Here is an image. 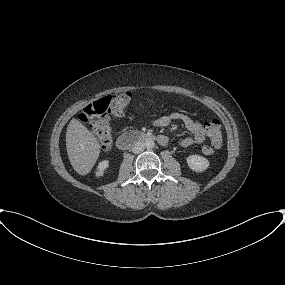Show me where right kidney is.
Segmentation results:
<instances>
[{
	"label": "right kidney",
	"instance_id": "obj_1",
	"mask_svg": "<svg viewBox=\"0 0 285 285\" xmlns=\"http://www.w3.org/2000/svg\"><path fill=\"white\" fill-rule=\"evenodd\" d=\"M109 167V161L108 160H103L101 162H99L98 166H97V171L95 172L96 176H103L104 173L106 172V170Z\"/></svg>",
	"mask_w": 285,
	"mask_h": 285
}]
</instances>
